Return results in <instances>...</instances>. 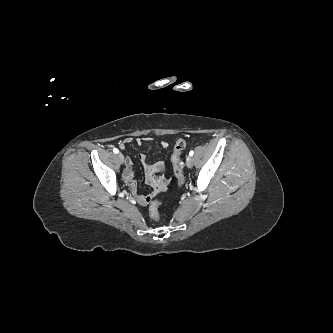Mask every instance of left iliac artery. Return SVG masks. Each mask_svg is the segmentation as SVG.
<instances>
[{
  "mask_svg": "<svg viewBox=\"0 0 333 333\" xmlns=\"http://www.w3.org/2000/svg\"><path fill=\"white\" fill-rule=\"evenodd\" d=\"M193 154H194V151L191 150V151L189 152V155H190V156H193Z\"/></svg>",
  "mask_w": 333,
  "mask_h": 333,
  "instance_id": "left-iliac-artery-1",
  "label": "left iliac artery"
}]
</instances>
